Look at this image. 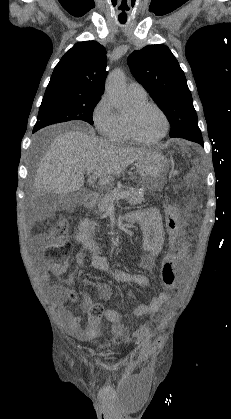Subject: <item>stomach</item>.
Listing matches in <instances>:
<instances>
[{
	"label": "stomach",
	"mask_w": 231,
	"mask_h": 419,
	"mask_svg": "<svg viewBox=\"0 0 231 419\" xmlns=\"http://www.w3.org/2000/svg\"><path fill=\"white\" fill-rule=\"evenodd\" d=\"M135 166L141 177V183L149 191L164 185L169 165L162 153L149 151L136 160Z\"/></svg>",
	"instance_id": "0dacf381"
}]
</instances>
